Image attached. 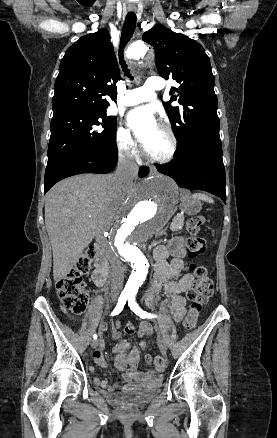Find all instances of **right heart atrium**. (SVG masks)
<instances>
[{"instance_id":"1","label":"right heart atrium","mask_w":277,"mask_h":438,"mask_svg":"<svg viewBox=\"0 0 277 438\" xmlns=\"http://www.w3.org/2000/svg\"><path fill=\"white\" fill-rule=\"evenodd\" d=\"M116 142L122 155L132 156L135 153L136 143L129 130L122 125L117 129Z\"/></svg>"}]
</instances>
